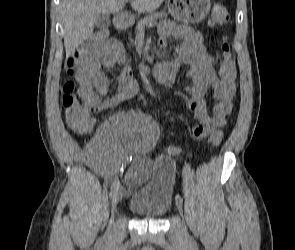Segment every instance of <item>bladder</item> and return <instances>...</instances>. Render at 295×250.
<instances>
[{
  "instance_id": "31cf9c89",
  "label": "bladder",
  "mask_w": 295,
  "mask_h": 250,
  "mask_svg": "<svg viewBox=\"0 0 295 250\" xmlns=\"http://www.w3.org/2000/svg\"><path fill=\"white\" fill-rule=\"evenodd\" d=\"M167 155L157 157L152 164V176L142 186H135L128 202L129 210L143 219L157 220L172 206L173 169Z\"/></svg>"
}]
</instances>
